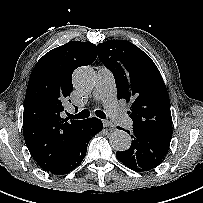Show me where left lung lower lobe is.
<instances>
[{
    "label": "left lung lower lobe",
    "instance_id": "0a47b994",
    "mask_svg": "<svg viewBox=\"0 0 203 203\" xmlns=\"http://www.w3.org/2000/svg\"><path fill=\"white\" fill-rule=\"evenodd\" d=\"M131 138L133 140L130 148L116 152V157L136 172H145L157 167L164 160L171 142V139L159 137L139 128H133Z\"/></svg>",
    "mask_w": 203,
    "mask_h": 203
}]
</instances>
